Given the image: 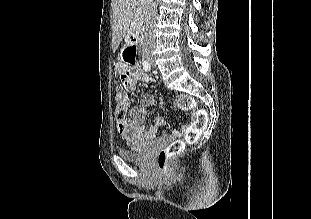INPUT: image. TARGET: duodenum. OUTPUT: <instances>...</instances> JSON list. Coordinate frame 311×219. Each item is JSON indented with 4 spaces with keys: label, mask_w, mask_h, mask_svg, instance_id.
I'll list each match as a JSON object with an SVG mask.
<instances>
[{
    "label": "duodenum",
    "mask_w": 311,
    "mask_h": 219,
    "mask_svg": "<svg viewBox=\"0 0 311 219\" xmlns=\"http://www.w3.org/2000/svg\"><path fill=\"white\" fill-rule=\"evenodd\" d=\"M139 39L140 35L138 28H134L128 33L127 43L129 45V52L136 56L139 54L138 48H136V45L139 43Z\"/></svg>",
    "instance_id": "obj_1"
}]
</instances>
